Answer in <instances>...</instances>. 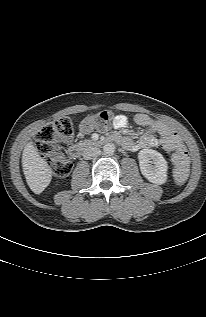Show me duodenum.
I'll list each match as a JSON object with an SVG mask.
<instances>
[{
	"mask_svg": "<svg viewBox=\"0 0 206 317\" xmlns=\"http://www.w3.org/2000/svg\"><path fill=\"white\" fill-rule=\"evenodd\" d=\"M106 140L109 142H119V141H121V138L119 136H116V135H111ZM99 143H100V141H90V142H86V143H82V144H78V145H73L69 149V154L73 158L78 159L82 156V154L87 149L94 147V146H97Z\"/></svg>",
	"mask_w": 206,
	"mask_h": 317,
	"instance_id": "1",
	"label": "duodenum"
}]
</instances>
